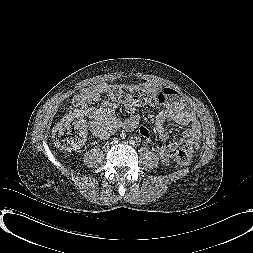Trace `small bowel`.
<instances>
[{
  "instance_id": "c3829d8e",
  "label": "small bowel",
  "mask_w": 253,
  "mask_h": 253,
  "mask_svg": "<svg viewBox=\"0 0 253 253\" xmlns=\"http://www.w3.org/2000/svg\"><path fill=\"white\" fill-rule=\"evenodd\" d=\"M139 87L150 94V103L157 110L155 114V131L161 142L156 147V154L163 164H168L170 157L177 149L185 147L189 151L198 148L201 135V126L195 110L190 104L173 89L161 87L155 83L142 82ZM106 91L103 84L93 85L83 89L72 98L73 115L85 121L90 131L98 138H107L118 129L134 130L137 128L138 105L132 100H125L124 107L127 117H120L115 112V105L101 100ZM166 122H175L181 126H188L182 139L168 143L169 132ZM139 134L149 139L150 130L141 126Z\"/></svg>"
}]
</instances>
